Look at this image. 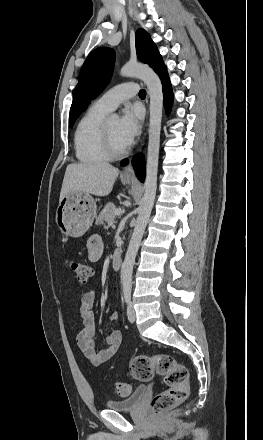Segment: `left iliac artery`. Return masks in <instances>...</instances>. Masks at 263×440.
<instances>
[{"label": "left iliac artery", "instance_id": "left-iliac-artery-1", "mask_svg": "<svg viewBox=\"0 0 263 440\" xmlns=\"http://www.w3.org/2000/svg\"><path fill=\"white\" fill-rule=\"evenodd\" d=\"M123 292H124V299H125L126 303H128L130 301V298H131V288L130 287H125Z\"/></svg>", "mask_w": 263, "mask_h": 440}]
</instances>
